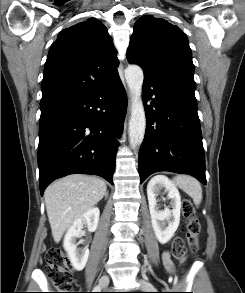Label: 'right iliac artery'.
<instances>
[{"instance_id":"right-iliac-artery-1","label":"right iliac artery","mask_w":245,"mask_h":293,"mask_svg":"<svg viewBox=\"0 0 245 293\" xmlns=\"http://www.w3.org/2000/svg\"><path fill=\"white\" fill-rule=\"evenodd\" d=\"M94 290H95V292H99L100 287H99V286H96V287L94 288Z\"/></svg>"}]
</instances>
